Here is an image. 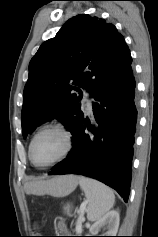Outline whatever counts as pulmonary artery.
Here are the masks:
<instances>
[{"mask_svg": "<svg viewBox=\"0 0 158 237\" xmlns=\"http://www.w3.org/2000/svg\"><path fill=\"white\" fill-rule=\"evenodd\" d=\"M91 108H92V104H91L90 101H88V102H87V109H88L89 111H91Z\"/></svg>", "mask_w": 158, "mask_h": 237, "instance_id": "obj_1", "label": "pulmonary artery"}]
</instances>
